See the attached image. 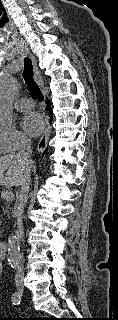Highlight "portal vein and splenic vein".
Segmentation results:
<instances>
[{
  "label": "portal vein and splenic vein",
  "mask_w": 118,
  "mask_h": 320,
  "mask_svg": "<svg viewBox=\"0 0 118 320\" xmlns=\"http://www.w3.org/2000/svg\"><path fill=\"white\" fill-rule=\"evenodd\" d=\"M1 197L5 200H10L14 197L13 191L11 190L2 191Z\"/></svg>",
  "instance_id": "18ae733b"
}]
</instances>
